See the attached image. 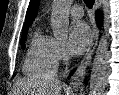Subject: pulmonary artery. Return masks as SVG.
Wrapping results in <instances>:
<instances>
[{
    "mask_svg": "<svg viewBox=\"0 0 119 95\" xmlns=\"http://www.w3.org/2000/svg\"><path fill=\"white\" fill-rule=\"evenodd\" d=\"M70 13L75 18H80L83 16V8L80 5H73L70 8Z\"/></svg>",
    "mask_w": 119,
    "mask_h": 95,
    "instance_id": "pulmonary-artery-1",
    "label": "pulmonary artery"
}]
</instances>
